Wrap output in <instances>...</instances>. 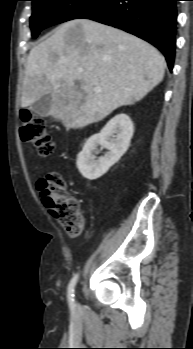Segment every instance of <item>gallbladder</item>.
<instances>
[{
  "label": "gallbladder",
  "instance_id": "gallbladder-1",
  "mask_svg": "<svg viewBox=\"0 0 193 349\" xmlns=\"http://www.w3.org/2000/svg\"><path fill=\"white\" fill-rule=\"evenodd\" d=\"M52 105L51 95L47 94L38 99L30 106V110L36 113L39 116L46 117L48 116L49 109Z\"/></svg>",
  "mask_w": 193,
  "mask_h": 349
}]
</instances>
